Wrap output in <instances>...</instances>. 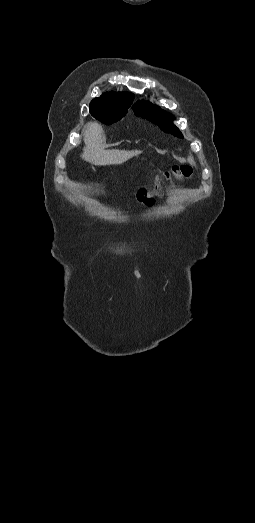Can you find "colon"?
Listing matches in <instances>:
<instances>
[{
  "label": "colon",
  "mask_w": 255,
  "mask_h": 523,
  "mask_svg": "<svg viewBox=\"0 0 255 523\" xmlns=\"http://www.w3.org/2000/svg\"><path fill=\"white\" fill-rule=\"evenodd\" d=\"M193 173L192 168L189 165L174 166L170 171H167L163 177H158L156 184L152 189L142 187L136 194L138 202L145 205H151L154 201V196L159 194V184L161 180H182L189 178Z\"/></svg>",
  "instance_id": "obj_1"
}]
</instances>
